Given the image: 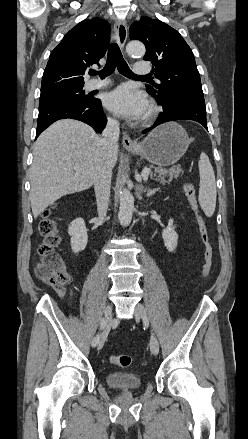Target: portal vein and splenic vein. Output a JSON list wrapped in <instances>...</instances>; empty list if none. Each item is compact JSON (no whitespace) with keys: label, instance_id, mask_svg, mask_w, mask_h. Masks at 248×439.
Listing matches in <instances>:
<instances>
[{"label":"portal vein and splenic vein","instance_id":"1","mask_svg":"<svg viewBox=\"0 0 248 439\" xmlns=\"http://www.w3.org/2000/svg\"><path fill=\"white\" fill-rule=\"evenodd\" d=\"M75 168H76V169H79V167H75ZM150 172H151V169H150V168H144V169H143V171H142V177H143L144 180H147V179H148V176H149Z\"/></svg>","mask_w":248,"mask_h":439}]
</instances>
